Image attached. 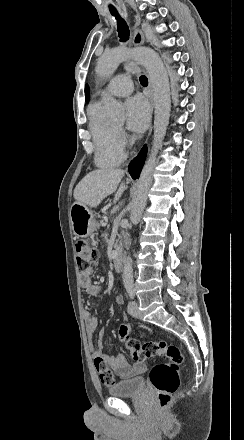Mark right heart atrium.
I'll return each mask as SVG.
<instances>
[{
    "instance_id": "right-heart-atrium-1",
    "label": "right heart atrium",
    "mask_w": 244,
    "mask_h": 440,
    "mask_svg": "<svg viewBox=\"0 0 244 440\" xmlns=\"http://www.w3.org/2000/svg\"><path fill=\"white\" fill-rule=\"evenodd\" d=\"M128 134L124 129L118 128L114 131V136L112 137L109 146L112 148H119L125 145L128 141Z\"/></svg>"
}]
</instances>
